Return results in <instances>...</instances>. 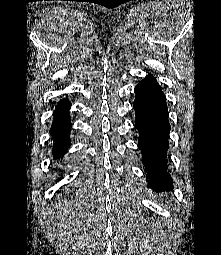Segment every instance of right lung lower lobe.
Returning <instances> with one entry per match:
<instances>
[{"mask_svg": "<svg viewBox=\"0 0 221 255\" xmlns=\"http://www.w3.org/2000/svg\"><path fill=\"white\" fill-rule=\"evenodd\" d=\"M69 108V101L62 100L54 111V120L50 132L55 141L53 153L57 157L66 152L70 145L69 134L72 124L70 122Z\"/></svg>", "mask_w": 221, "mask_h": 255, "instance_id": "right-lung-lower-lobe-1", "label": "right lung lower lobe"}]
</instances>
